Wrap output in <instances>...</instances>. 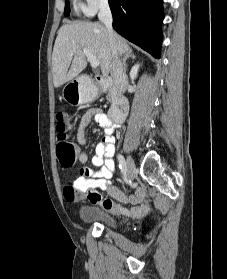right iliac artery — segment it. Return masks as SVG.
I'll return each mask as SVG.
<instances>
[{
	"mask_svg": "<svg viewBox=\"0 0 227 279\" xmlns=\"http://www.w3.org/2000/svg\"><path fill=\"white\" fill-rule=\"evenodd\" d=\"M118 158V161H119V168L121 169V172L123 174H125L127 172V168H126V162H125V159L122 155H118L117 156Z\"/></svg>",
	"mask_w": 227,
	"mask_h": 279,
	"instance_id": "1",
	"label": "right iliac artery"
}]
</instances>
